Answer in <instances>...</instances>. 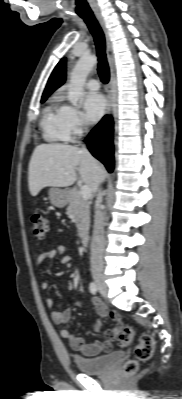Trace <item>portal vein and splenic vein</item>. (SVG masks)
<instances>
[{
    "mask_svg": "<svg viewBox=\"0 0 182 399\" xmlns=\"http://www.w3.org/2000/svg\"><path fill=\"white\" fill-rule=\"evenodd\" d=\"M80 195L83 199L87 200L91 197V190L86 185L81 186Z\"/></svg>",
    "mask_w": 182,
    "mask_h": 399,
    "instance_id": "1",
    "label": "portal vein and splenic vein"
}]
</instances>
